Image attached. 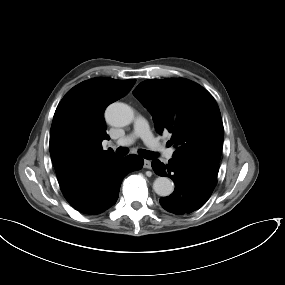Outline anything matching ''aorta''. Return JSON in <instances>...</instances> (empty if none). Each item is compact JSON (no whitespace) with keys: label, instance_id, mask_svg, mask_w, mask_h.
<instances>
[{"label":"aorta","instance_id":"obj_1","mask_svg":"<svg viewBox=\"0 0 285 285\" xmlns=\"http://www.w3.org/2000/svg\"><path fill=\"white\" fill-rule=\"evenodd\" d=\"M105 117L110 125L124 127L132 123L134 112L127 104L115 102L108 106ZM153 189L159 196L166 197L173 193L174 183L167 177H158L153 183Z\"/></svg>","mask_w":285,"mask_h":285}]
</instances>
